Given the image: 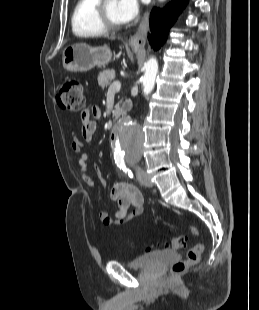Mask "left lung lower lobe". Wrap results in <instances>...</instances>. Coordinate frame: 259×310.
<instances>
[{"label":"left lung lower lobe","mask_w":259,"mask_h":310,"mask_svg":"<svg viewBox=\"0 0 259 310\" xmlns=\"http://www.w3.org/2000/svg\"><path fill=\"white\" fill-rule=\"evenodd\" d=\"M187 0H176L169 3L163 9L154 8L150 17V35L149 42L154 49H158L165 41L168 30L176 20Z\"/></svg>","instance_id":"left-lung-lower-lobe-1"}]
</instances>
